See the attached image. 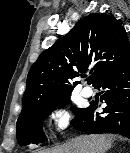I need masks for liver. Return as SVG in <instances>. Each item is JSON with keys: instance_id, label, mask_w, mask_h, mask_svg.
<instances>
[{"instance_id": "liver-1", "label": "liver", "mask_w": 130, "mask_h": 153, "mask_svg": "<svg viewBox=\"0 0 130 153\" xmlns=\"http://www.w3.org/2000/svg\"><path fill=\"white\" fill-rule=\"evenodd\" d=\"M112 141V135H80L41 153H106L111 148Z\"/></svg>"}]
</instances>
